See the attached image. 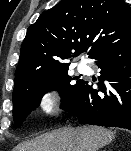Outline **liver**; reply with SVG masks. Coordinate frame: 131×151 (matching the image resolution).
I'll use <instances>...</instances> for the list:
<instances>
[{
    "label": "liver",
    "instance_id": "obj_1",
    "mask_svg": "<svg viewBox=\"0 0 131 151\" xmlns=\"http://www.w3.org/2000/svg\"><path fill=\"white\" fill-rule=\"evenodd\" d=\"M115 138L102 127L63 128L19 144L14 151H98Z\"/></svg>",
    "mask_w": 131,
    "mask_h": 151
}]
</instances>
